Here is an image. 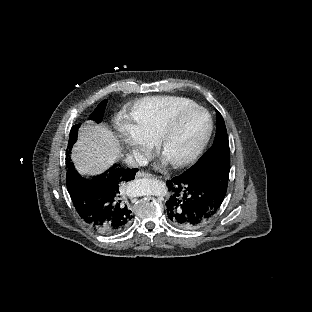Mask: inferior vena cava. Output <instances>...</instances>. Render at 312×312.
<instances>
[{
    "mask_svg": "<svg viewBox=\"0 0 312 312\" xmlns=\"http://www.w3.org/2000/svg\"><path fill=\"white\" fill-rule=\"evenodd\" d=\"M148 162L149 159L139 150H133L132 155H128L125 159V163L132 167L146 166Z\"/></svg>",
    "mask_w": 312,
    "mask_h": 312,
    "instance_id": "inferior-vena-cava-1",
    "label": "inferior vena cava"
}]
</instances>
